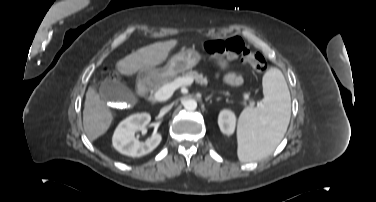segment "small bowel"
<instances>
[{
    "label": "small bowel",
    "instance_id": "1",
    "mask_svg": "<svg viewBox=\"0 0 376 202\" xmlns=\"http://www.w3.org/2000/svg\"><path fill=\"white\" fill-rule=\"evenodd\" d=\"M225 81L230 84V85H239L241 82H242V79L239 75H237L236 73H228L226 76H225Z\"/></svg>",
    "mask_w": 376,
    "mask_h": 202
}]
</instances>
